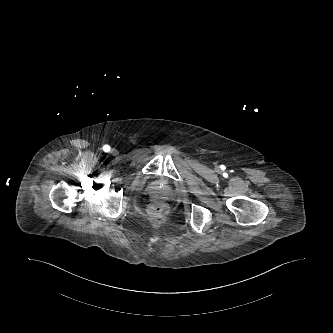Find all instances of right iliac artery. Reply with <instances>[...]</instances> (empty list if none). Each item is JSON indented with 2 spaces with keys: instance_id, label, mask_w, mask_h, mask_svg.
<instances>
[{
  "instance_id": "1",
  "label": "right iliac artery",
  "mask_w": 333,
  "mask_h": 333,
  "mask_svg": "<svg viewBox=\"0 0 333 333\" xmlns=\"http://www.w3.org/2000/svg\"><path fill=\"white\" fill-rule=\"evenodd\" d=\"M103 151L104 152H109L110 151V146L109 145H104L103 146Z\"/></svg>"
}]
</instances>
